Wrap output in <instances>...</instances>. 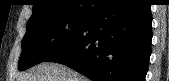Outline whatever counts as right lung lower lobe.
<instances>
[{"label": "right lung lower lobe", "mask_w": 169, "mask_h": 81, "mask_svg": "<svg viewBox=\"0 0 169 81\" xmlns=\"http://www.w3.org/2000/svg\"><path fill=\"white\" fill-rule=\"evenodd\" d=\"M152 16L143 0H109L81 31L43 62L64 64L92 81H144Z\"/></svg>", "instance_id": "1"}]
</instances>
